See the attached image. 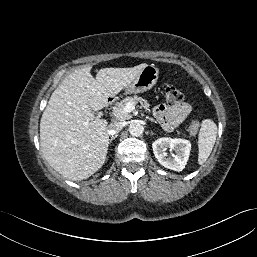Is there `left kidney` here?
I'll return each instance as SVG.
<instances>
[{"mask_svg": "<svg viewBox=\"0 0 257 257\" xmlns=\"http://www.w3.org/2000/svg\"><path fill=\"white\" fill-rule=\"evenodd\" d=\"M153 153L158 162L171 170L182 171L188 161L191 144L188 140L180 138H159L152 144ZM175 150L172 157H168L166 150Z\"/></svg>", "mask_w": 257, "mask_h": 257, "instance_id": "5707ae66", "label": "left kidney"}]
</instances>
